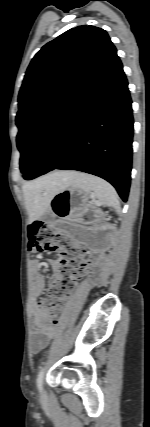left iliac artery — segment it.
Listing matches in <instances>:
<instances>
[{"label": "left iliac artery", "mask_w": 150, "mask_h": 427, "mask_svg": "<svg viewBox=\"0 0 150 427\" xmlns=\"http://www.w3.org/2000/svg\"><path fill=\"white\" fill-rule=\"evenodd\" d=\"M43 376H44V368H41V370L37 376V386H38L39 390L42 389Z\"/></svg>", "instance_id": "obj_1"}]
</instances>
